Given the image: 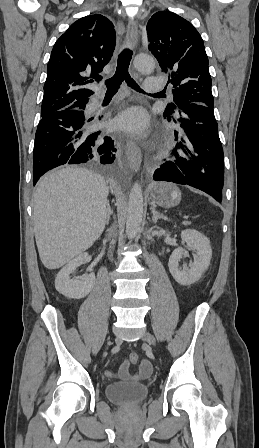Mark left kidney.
I'll return each instance as SVG.
<instances>
[{
    "label": "left kidney",
    "mask_w": 259,
    "mask_h": 448,
    "mask_svg": "<svg viewBox=\"0 0 259 448\" xmlns=\"http://www.w3.org/2000/svg\"><path fill=\"white\" fill-rule=\"evenodd\" d=\"M181 238L185 240L187 248L196 250V254H193L194 262L189 266L184 264L181 270L179 262L184 250L183 248H176L169 258L168 268L175 282H178L180 286H191V284L200 280L205 270H208L212 258V248L209 238H206L200 232H196V230H183Z\"/></svg>",
    "instance_id": "obj_1"
}]
</instances>
